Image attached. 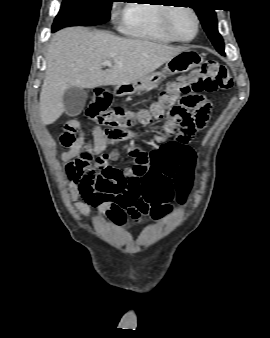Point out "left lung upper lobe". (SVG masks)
I'll list each match as a JSON object with an SVG mask.
<instances>
[{
	"label": "left lung upper lobe",
	"mask_w": 270,
	"mask_h": 338,
	"mask_svg": "<svg viewBox=\"0 0 270 338\" xmlns=\"http://www.w3.org/2000/svg\"><path fill=\"white\" fill-rule=\"evenodd\" d=\"M197 6L194 7L202 26L207 33L209 39L212 41V44L215 46L216 50L225 55L224 52V43L223 38L218 32L217 29V17L214 9L210 7L212 0H198Z\"/></svg>",
	"instance_id": "1"
}]
</instances>
